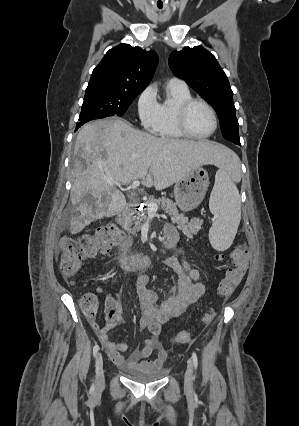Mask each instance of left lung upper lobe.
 <instances>
[{
	"label": "left lung upper lobe",
	"instance_id": "1",
	"mask_svg": "<svg viewBox=\"0 0 299 426\" xmlns=\"http://www.w3.org/2000/svg\"><path fill=\"white\" fill-rule=\"evenodd\" d=\"M172 72L183 79L215 108L223 137L241 145L233 92L228 78L213 54L202 46L173 51L169 57Z\"/></svg>",
	"mask_w": 299,
	"mask_h": 426
}]
</instances>
